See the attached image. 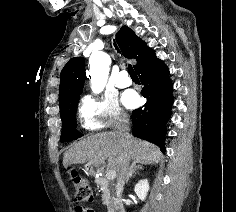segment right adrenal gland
<instances>
[{"instance_id": "right-adrenal-gland-1", "label": "right adrenal gland", "mask_w": 236, "mask_h": 212, "mask_svg": "<svg viewBox=\"0 0 236 212\" xmlns=\"http://www.w3.org/2000/svg\"><path fill=\"white\" fill-rule=\"evenodd\" d=\"M143 169V166L136 163V162H132L131 163V166H130V169H129V174H128V177L126 179V183H128L129 179L132 178L138 170H141Z\"/></svg>"}]
</instances>
